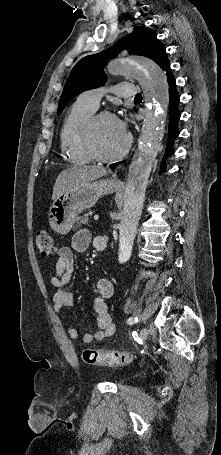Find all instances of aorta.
Segmentation results:
<instances>
[{"instance_id":"762f6f07","label":"aorta","mask_w":221,"mask_h":455,"mask_svg":"<svg viewBox=\"0 0 221 455\" xmlns=\"http://www.w3.org/2000/svg\"><path fill=\"white\" fill-rule=\"evenodd\" d=\"M112 75L136 76L144 88L147 111L138 151L134 156L126 182L124 207L119 226V261L129 259L145 199L152 163L163 139L168 107V86L165 73L145 58H124L108 65Z\"/></svg>"}]
</instances>
